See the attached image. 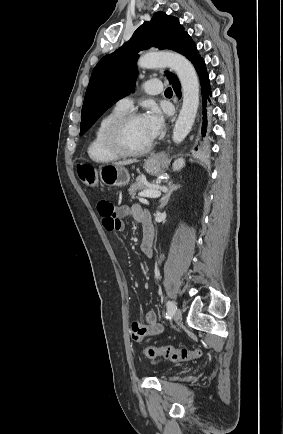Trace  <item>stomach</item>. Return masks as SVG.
<instances>
[{
  "mask_svg": "<svg viewBox=\"0 0 283 434\" xmlns=\"http://www.w3.org/2000/svg\"><path fill=\"white\" fill-rule=\"evenodd\" d=\"M144 168L151 175H159L163 171V161L156 155H152L145 161ZM100 171V179L105 185L121 187L130 181V175L124 166L105 165L100 168Z\"/></svg>",
  "mask_w": 283,
  "mask_h": 434,
  "instance_id": "1",
  "label": "stomach"
}]
</instances>
